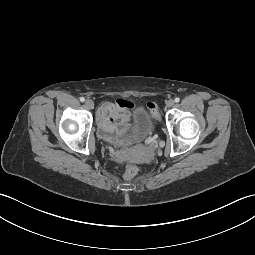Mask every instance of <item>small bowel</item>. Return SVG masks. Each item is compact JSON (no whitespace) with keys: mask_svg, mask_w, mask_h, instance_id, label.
<instances>
[{"mask_svg":"<svg viewBox=\"0 0 255 255\" xmlns=\"http://www.w3.org/2000/svg\"><path fill=\"white\" fill-rule=\"evenodd\" d=\"M134 104L131 101L119 99L116 102L105 101L97 112L100 134L110 139L118 131L129 125L130 111Z\"/></svg>","mask_w":255,"mask_h":255,"instance_id":"1","label":"small bowel"}]
</instances>
